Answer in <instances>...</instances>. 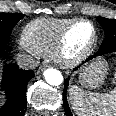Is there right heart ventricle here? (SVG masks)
I'll list each match as a JSON object with an SVG mask.
<instances>
[{
    "mask_svg": "<svg viewBox=\"0 0 116 116\" xmlns=\"http://www.w3.org/2000/svg\"><path fill=\"white\" fill-rule=\"evenodd\" d=\"M74 19L42 18L28 23L21 33L20 42L27 50L40 55L52 54L60 32Z\"/></svg>",
    "mask_w": 116,
    "mask_h": 116,
    "instance_id": "right-heart-ventricle-1",
    "label": "right heart ventricle"
}]
</instances>
